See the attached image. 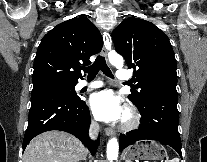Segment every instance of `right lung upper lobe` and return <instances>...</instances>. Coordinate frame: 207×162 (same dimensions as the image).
I'll return each mask as SVG.
<instances>
[{
    "instance_id": "right-lung-upper-lobe-1",
    "label": "right lung upper lobe",
    "mask_w": 207,
    "mask_h": 162,
    "mask_svg": "<svg viewBox=\"0 0 207 162\" xmlns=\"http://www.w3.org/2000/svg\"><path fill=\"white\" fill-rule=\"evenodd\" d=\"M103 40L87 18L62 22L41 40L34 60L33 88L52 84H77L81 65L101 51Z\"/></svg>"
}]
</instances>
